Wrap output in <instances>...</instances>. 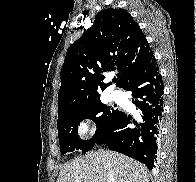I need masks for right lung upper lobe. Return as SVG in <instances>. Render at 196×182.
<instances>
[{"instance_id": "obj_1", "label": "right lung upper lobe", "mask_w": 196, "mask_h": 182, "mask_svg": "<svg viewBox=\"0 0 196 182\" xmlns=\"http://www.w3.org/2000/svg\"><path fill=\"white\" fill-rule=\"evenodd\" d=\"M155 57L131 15L123 9L100 11L93 26L67 50L61 69L58 115L84 104L104 91L103 72L118 70V86L143 72Z\"/></svg>"}]
</instances>
